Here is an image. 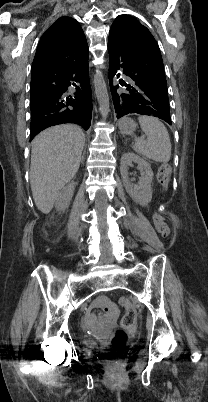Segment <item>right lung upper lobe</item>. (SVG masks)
Masks as SVG:
<instances>
[{
  "mask_svg": "<svg viewBox=\"0 0 208 402\" xmlns=\"http://www.w3.org/2000/svg\"><path fill=\"white\" fill-rule=\"evenodd\" d=\"M86 43L79 22L71 17H61L42 35L32 67L63 61Z\"/></svg>",
  "mask_w": 208,
  "mask_h": 402,
  "instance_id": "right-lung-upper-lobe-1",
  "label": "right lung upper lobe"
}]
</instances>
